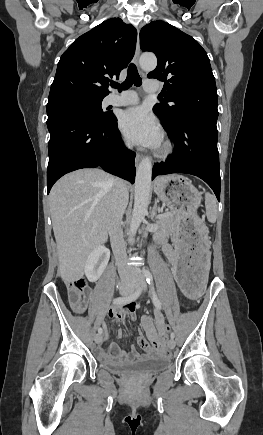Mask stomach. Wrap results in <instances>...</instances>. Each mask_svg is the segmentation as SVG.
<instances>
[{"label":"stomach","instance_id":"obj_1","mask_svg":"<svg viewBox=\"0 0 263 435\" xmlns=\"http://www.w3.org/2000/svg\"><path fill=\"white\" fill-rule=\"evenodd\" d=\"M154 191L158 198L175 209L172 224L175 246L181 247V260L173 270V280L180 288L181 299H202L203 288H209L207 262L210 261V238L205 217L199 216L201 195L192 182L179 175L160 177Z\"/></svg>","mask_w":263,"mask_h":435}]
</instances>
